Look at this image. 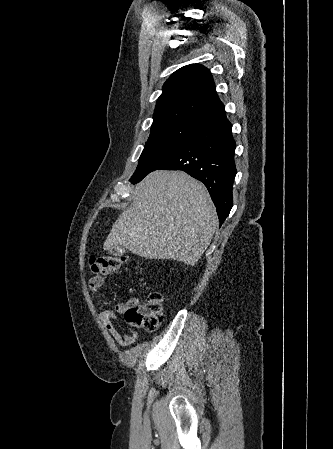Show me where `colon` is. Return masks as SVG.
Masks as SVG:
<instances>
[{
  "label": "colon",
  "instance_id": "colon-1",
  "mask_svg": "<svg viewBox=\"0 0 333 449\" xmlns=\"http://www.w3.org/2000/svg\"><path fill=\"white\" fill-rule=\"evenodd\" d=\"M127 260L126 255L91 256L89 268L93 273L108 275L120 270ZM163 314V298L157 292L150 294L145 301L136 300L130 303L124 311L125 320L129 325L147 331H154L159 327Z\"/></svg>",
  "mask_w": 333,
  "mask_h": 449
}]
</instances>
